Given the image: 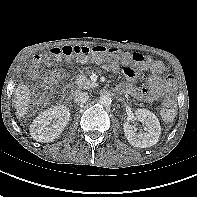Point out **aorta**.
<instances>
[{
	"label": "aorta",
	"mask_w": 197,
	"mask_h": 197,
	"mask_svg": "<svg viewBox=\"0 0 197 197\" xmlns=\"http://www.w3.org/2000/svg\"><path fill=\"white\" fill-rule=\"evenodd\" d=\"M111 102H112V99H111V97L109 95H105V94L101 95V97H100L101 105L107 107V106H109L111 104Z\"/></svg>",
	"instance_id": "obj_1"
}]
</instances>
